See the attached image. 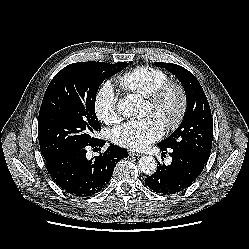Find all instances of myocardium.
<instances>
[{
    "instance_id": "myocardium-1",
    "label": "myocardium",
    "mask_w": 249,
    "mask_h": 249,
    "mask_svg": "<svg viewBox=\"0 0 249 249\" xmlns=\"http://www.w3.org/2000/svg\"><path fill=\"white\" fill-rule=\"evenodd\" d=\"M170 94L174 96L175 103L168 113L164 125L166 129L174 130L181 124L187 110V94L184 87L176 81L168 80L146 95L145 99L154 111L163 112L165 101Z\"/></svg>"
}]
</instances>
